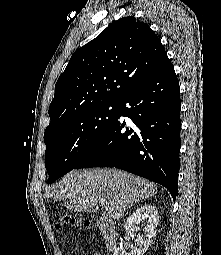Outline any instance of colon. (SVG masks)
<instances>
[{"mask_svg": "<svg viewBox=\"0 0 221 255\" xmlns=\"http://www.w3.org/2000/svg\"><path fill=\"white\" fill-rule=\"evenodd\" d=\"M62 223L66 225H71V226H78L82 224L81 220H77L76 218L72 216H63L62 217ZM57 228H59V225H57Z\"/></svg>", "mask_w": 221, "mask_h": 255, "instance_id": "colon-1", "label": "colon"}]
</instances>
